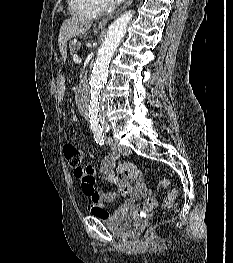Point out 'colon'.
Segmentation results:
<instances>
[{
  "label": "colon",
  "instance_id": "1",
  "mask_svg": "<svg viewBox=\"0 0 233 263\" xmlns=\"http://www.w3.org/2000/svg\"><path fill=\"white\" fill-rule=\"evenodd\" d=\"M65 158L69 166L74 170L76 175H85L90 172V170L82 165L83 162V153L82 151L73 144H66L63 148ZM169 185L167 179H163L158 183V188L165 190ZM178 195V189L173 188L168 194L167 198L164 201L165 208H171L174 204V201Z\"/></svg>",
  "mask_w": 233,
  "mask_h": 263
}]
</instances>
